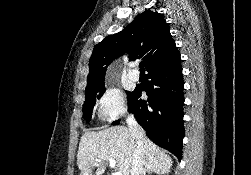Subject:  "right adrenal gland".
Segmentation results:
<instances>
[{
	"label": "right adrenal gland",
	"instance_id": "obj_1",
	"mask_svg": "<svg viewBox=\"0 0 251 175\" xmlns=\"http://www.w3.org/2000/svg\"><path fill=\"white\" fill-rule=\"evenodd\" d=\"M148 173H152V171H148Z\"/></svg>",
	"mask_w": 251,
	"mask_h": 175
}]
</instances>
